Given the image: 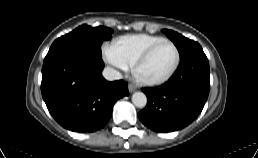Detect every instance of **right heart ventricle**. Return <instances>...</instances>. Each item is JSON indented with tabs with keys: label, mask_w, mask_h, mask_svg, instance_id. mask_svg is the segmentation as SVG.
<instances>
[{
	"label": "right heart ventricle",
	"mask_w": 258,
	"mask_h": 158,
	"mask_svg": "<svg viewBox=\"0 0 258 158\" xmlns=\"http://www.w3.org/2000/svg\"><path fill=\"white\" fill-rule=\"evenodd\" d=\"M163 40L162 37L147 35L128 36L119 39L113 45L123 63L127 67L134 66L142 54L157 42Z\"/></svg>",
	"instance_id": "1"
}]
</instances>
